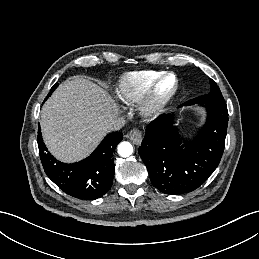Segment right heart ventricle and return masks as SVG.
<instances>
[{
	"instance_id": "right-heart-ventricle-1",
	"label": "right heart ventricle",
	"mask_w": 259,
	"mask_h": 259,
	"mask_svg": "<svg viewBox=\"0 0 259 259\" xmlns=\"http://www.w3.org/2000/svg\"><path fill=\"white\" fill-rule=\"evenodd\" d=\"M161 73L162 72L160 71L154 70H142L126 73L121 77L119 82L117 91L118 98L126 104L138 102L151 82Z\"/></svg>"
}]
</instances>
